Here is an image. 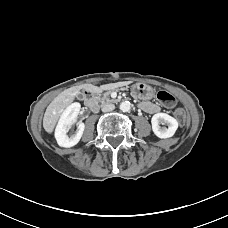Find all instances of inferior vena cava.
<instances>
[{
	"instance_id": "602c4592",
	"label": "inferior vena cava",
	"mask_w": 228,
	"mask_h": 228,
	"mask_svg": "<svg viewBox=\"0 0 228 228\" xmlns=\"http://www.w3.org/2000/svg\"><path fill=\"white\" fill-rule=\"evenodd\" d=\"M114 109H115L114 104H104L101 108L103 112H110V111H113Z\"/></svg>"
}]
</instances>
